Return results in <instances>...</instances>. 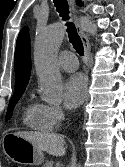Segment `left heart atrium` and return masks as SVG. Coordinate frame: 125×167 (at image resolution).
<instances>
[{"instance_id": "1", "label": "left heart atrium", "mask_w": 125, "mask_h": 167, "mask_svg": "<svg viewBox=\"0 0 125 167\" xmlns=\"http://www.w3.org/2000/svg\"><path fill=\"white\" fill-rule=\"evenodd\" d=\"M87 90V82L83 75L72 74L63 84V101L69 109L77 108L83 101Z\"/></svg>"}]
</instances>
